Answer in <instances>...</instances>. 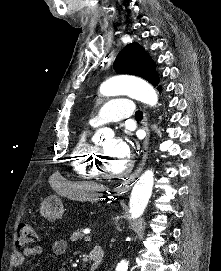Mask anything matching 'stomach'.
I'll return each mask as SVG.
<instances>
[{
    "mask_svg": "<svg viewBox=\"0 0 221 271\" xmlns=\"http://www.w3.org/2000/svg\"><path fill=\"white\" fill-rule=\"evenodd\" d=\"M63 203L60 201V197H45L40 209L41 215L46 219H58L63 215Z\"/></svg>",
    "mask_w": 221,
    "mask_h": 271,
    "instance_id": "obj_1",
    "label": "stomach"
}]
</instances>
